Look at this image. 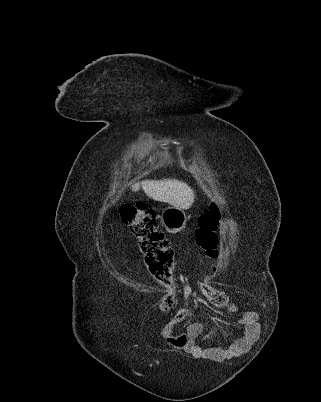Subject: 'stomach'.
<instances>
[{
  "label": "stomach",
  "instance_id": "1",
  "mask_svg": "<svg viewBox=\"0 0 321 402\" xmlns=\"http://www.w3.org/2000/svg\"><path fill=\"white\" fill-rule=\"evenodd\" d=\"M160 219L166 230L172 233L181 231L185 227L187 220L185 212L176 206L164 208Z\"/></svg>",
  "mask_w": 321,
  "mask_h": 402
}]
</instances>
